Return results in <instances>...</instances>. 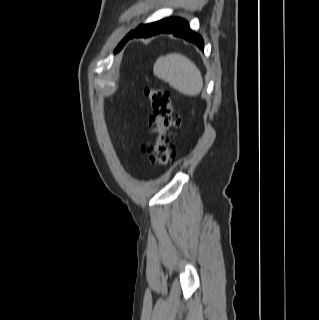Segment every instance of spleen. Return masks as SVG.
<instances>
[{
  "instance_id": "obj_1",
  "label": "spleen",
  "mask_w": 319,
  "mask_h": 320,
  "mask_svg": "<svg viewBox=\"0 0 319 320\" xmlns=\"http://www.w3.org/2000/svg\"><path fill=\"white\" fill-rule=\"evenodd\" d=\"M153 73L187 96L198 95L203 87L200 70L190 59L179 53L159 57L154 64Z\"/></svg>"
}]
</instances>
